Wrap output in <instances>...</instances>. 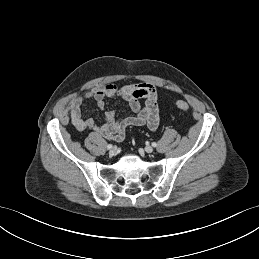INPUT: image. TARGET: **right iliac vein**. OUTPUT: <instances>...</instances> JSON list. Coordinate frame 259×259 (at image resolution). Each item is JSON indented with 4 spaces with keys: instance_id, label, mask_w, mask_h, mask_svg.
Wrapping results in <instances>:
<instances>
[{
    "instance_id": "right-iliac-vein-1",
    "label": "right iliac vein",
    "mask_w": 259,
    "mask_h": 259,
    "mask_svg": "<svg viewBox=\"0 0 259 259\" xmlns=\"http://www.w3.org/2000/svg\"><path fill=\"white\" fill-rule=\"evenodd\" d=\"M117 153V148L113 147L110 151H109V155L110 156H114Z\"/></svg>"
}]
</instances>
